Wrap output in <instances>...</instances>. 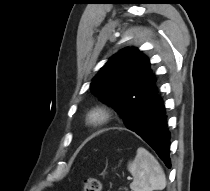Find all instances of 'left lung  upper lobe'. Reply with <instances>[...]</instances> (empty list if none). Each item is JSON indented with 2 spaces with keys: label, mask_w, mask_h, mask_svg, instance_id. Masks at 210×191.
<instances>
[{
  "label": "left lung upper lobe",
  "mask_w": 210,
  "mask_h": 191,
  "mask_svg": "<svg viewBox=\"0 0 210 191\" xmlns=\"http://www.w3.org/2000/svg\"><path fill=\"white\" fill-rule=\"evenodd\" d=\"M149 59L137 48H124L101 68L90 89L94 95L113 106L128 127V116H134L137 104L155 86L156 77ZM131 124V121L130 123Z\"/></svg>",
  "instance_id": "left-lung-upper-lobe-1"
}]
</instances>
